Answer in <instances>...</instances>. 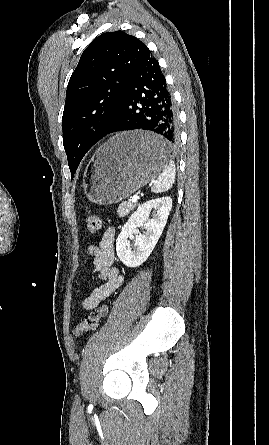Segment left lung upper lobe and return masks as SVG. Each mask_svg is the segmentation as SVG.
Instances as JSON below:
<instances>
[{
  "label": "left lung upper lobe",
  "instance_id": "left-lung-upper-lobe-1",
  "mask_svg": "<svg viewBox=\"0 0 269 445\" xmlns=\"http://www.w3.org/2000/svg\"><path fill=\"white\" fill-rule=\"evenodd\" d=\"M146 49L136 37L115 31L96 37L82 53L62 116L72 178L84 155L117 119L121 97Z\"/></svg>",
  "mask_w": 269,
  "mask_h": 445
}]
</instances>
